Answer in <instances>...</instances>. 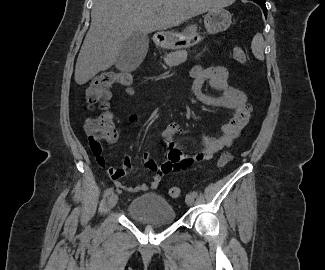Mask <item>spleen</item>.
Here are the masks:
<instances>
[{"mask_svg":"<svg viewBox=\"0 0 325 270\" xmlns=\"http://www.w3.org/2000/svg\"><path fill=\"white\" fill-rule=\"evenodd\" d=\"M264 47L265 43L263 36L257 33L251 42V48L254 56L260 61L264 60Z\"/></svg>","mask_w":325,"mask_h":270,"instance_id":"obj_1","label":"spleen"}]
</instances>
